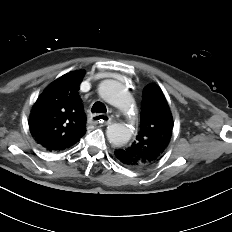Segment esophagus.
<instances>
[{"label": "esophagus", "instance_id": "34e87169", "mask_svg": "<svg viewBox=\"0 0 232 232\" xmlns=\"http://www.w3.org/2000/svg\"><path fill=\"white\" fill-rule=\"evenodd\" d=\"M93 124L107 125L111 122V118L105 114H95L91 118Z\"/></svg>", "mask_w": 232, "mask_h": 232}]
</instances>
